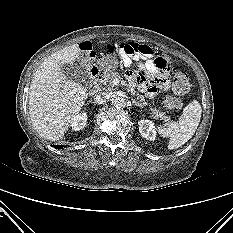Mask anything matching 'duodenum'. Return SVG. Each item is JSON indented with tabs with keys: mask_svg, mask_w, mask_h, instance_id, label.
<instances>
[{
	"mask_svg": "<svg viewBox=\"0 0 233 233\" xmlns=\"http://www.w3.org/2000/svg\"><path fill=\"white\" fill-rule=\"evenodd\" d=\"M91 76L93 78V88L91 89L92 93H95L98 90V86L103 78V72L97 68V67H92L91 68Z\"/></svg>",
	"mask_w": 233,
	"mask_h": 233,
	"instance_id": "obj_1",
	"label": "duodenum"
}]
</instances>
